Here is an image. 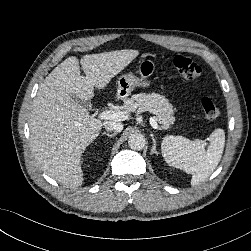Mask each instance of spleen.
Returning <instances> with one entry per match:
<instances>
[{"mask_svg": "<svg viewBox=\"0 0 251 251\" xmlns=\"http://www.w3.org/2000/svg\"><path fill=\"white\" fill-rule=\"evenodd\" d=\"M225 145L223 129H216L209 137L207 150L203 140L191 141L182 136H167L161 143L164 160L172 167L192 174L191 184L208 178L221 160Z\"/></svg>", "mask_w": 251, "mask_h": 251, "instance_id": "spleen-1", "label": "spleen"}]
</instances>
